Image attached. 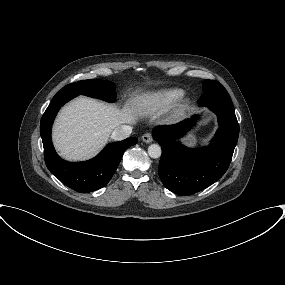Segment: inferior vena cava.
Masks as SVG:
<instances>
[{
	"mask_svg": "<svg viewBox=\"0 0 285 285\" xmlns=\"http://www.w3.org/2000/svg\"><path fill=\"white\" fill-rule=\"evenodd\" d=\"M131 133H132V127L131 126L120 125L113 130V132L111 134V138L113 140L120 141V140L128 138Z\"/></svg>",
	"mask_w": 285,
	"mask_h": 285,
	"instance_id": "1",
	"label": "inferior vena cava"
}]
</instances>
